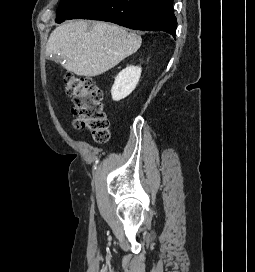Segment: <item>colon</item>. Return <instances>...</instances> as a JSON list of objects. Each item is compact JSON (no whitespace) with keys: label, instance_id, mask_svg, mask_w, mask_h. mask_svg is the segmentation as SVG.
I'll use <instances>...</instances> for the list:
<instances>
[{"label":"colon","instance_id":"obj_1","mask_svg":"<svg viewBox=\"0 0 255 272\" xmlns=\"http://www.w3.org/2000/svg\"><path fill=\"white\" fill-rule=\"evenodd\" d=\"M65 92L72 97L73 125L88 130L95 141L106 142L110 137L109 119L103 104L102 91L90 78L64 74Z\"/></svg>","mask_w":255,"mask_h":272}]
</instances>
